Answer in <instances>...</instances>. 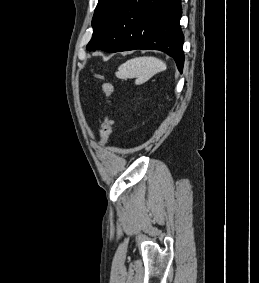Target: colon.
I'll use <instances>...</instances> for the list:
<instances>
[{
    "label": "colon",
    "mask_w": 259,
    "mask_h": 283,
    "mask_svg": "<svg viewBox=\"0 0 259 283\" xmlns=\"http://www.w3.org/2000/svg\"><path fill=\"white\" fill-rule=\"evenodd\" d=\"M101 89L107 99L108 113L101 128L100 138H101V142L107 143L115 127V120L112 115V107H111V98L114 94V86L110 82H103L101 85Z\"/></svg>",
    "instance_id": "colon-1"
}]
</instances>
